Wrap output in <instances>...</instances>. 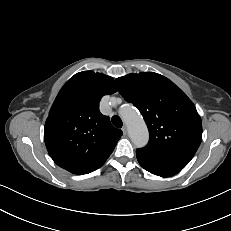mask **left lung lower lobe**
Returning <instances> with one entry per match:
<instances>
[{
  "label": "left lung lower lobe",
  "mask_w": 231,
  "mask_h": 231,
  "mask_svg": "<svg viewBox=\"0 0 231 231\" xmlns=\"http://www.w3.org/2000/svg\"><path fill=\"white\" fill-rule=\"evenodd\" d=\"M136 156H137L138 162L145 170L157 176L170 177V176L177 174L178 172L182 170L181 168L160 165V164L151 162L149 160H146L138 155Z\"/></svg>",
  "instance_id": "1"
}]
</instances>
